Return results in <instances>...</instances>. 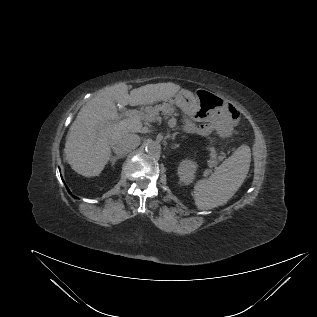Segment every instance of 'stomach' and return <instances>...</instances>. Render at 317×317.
Segmentation results:
<instances>
[{
	"instance_id": "stomach-1",
	"label": "stomach",
	"mask_w": 317,
	"mask_h": 317,
	"mask_svg": "<svg viewBox=\"0 0 317 317\" xmlns=\"http://www.w3.org/2000/svg\"><path fill=\"white\" fill-rule=\"evenodd\" d=\"M169 101L185 113L196 116L197 120L214 121L220 135H228L231 132L226 100L223 97L202 88L197 89L195 93L182 89L175 95L174 100Z\"/></svg>"
}]
</instances>
